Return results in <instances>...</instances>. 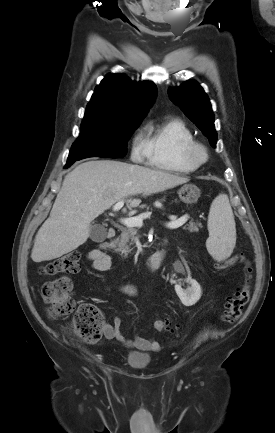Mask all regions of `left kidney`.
I'll list each match as a JSON object with an SVG mask.
<instances>
[{
	"instance_id": "1",
	"label": "left kidney",
	"mask_w": 275,
	"mask_h": 433,
	"mask_svg": "<svg viewBox=\"0 0 275 433\" xmlns=\"http://www.w3.org/2000/svg\"><path fill=\"white\" fill-rule=\"evenodd\" d=\"M187 282L191 285L186 290L181 287V285H175V291L180 298L181 302L185 306L194 305L201 297V287L199 283L191 278L187 279Z\"/></svg>"
}]
</instances>
